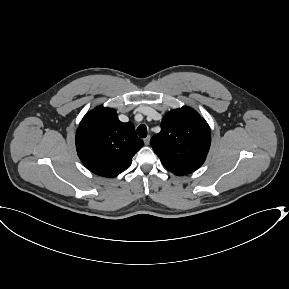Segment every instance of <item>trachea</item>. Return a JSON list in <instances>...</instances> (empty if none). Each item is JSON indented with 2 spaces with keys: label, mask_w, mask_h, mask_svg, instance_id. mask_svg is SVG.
Masks as SVG:
<instances>
[{
  "label": "trachea",
  "mask_w": 289,
  "mask_h": 289,
  "mask_svg": "<svg viewBox=\"0 0 289 289\" xmlns=\"http://www.w3.org/2000/svg\"><path fill=\"white\" fill-rule=\"evenodd\" d=\"M137 134L141 138H145L147 136V127L144 124H141L137 128Z\"/></svg>",
  "instance_id": "3493384b"
}]
</instances>
